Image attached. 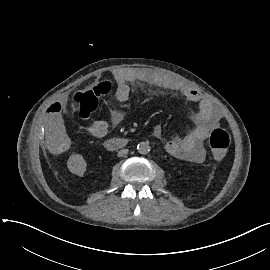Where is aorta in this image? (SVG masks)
<instances>
[{
	"label": "aorta",
	"instance_id": "aorta-1",
	"mask_svg": "<svg viewBox=\"0 0 270 270\" xmlns=\"http://www.w3.org/2000/svg\"><path fill=\"white\" fill-rule=\"evenodd\" d=\"M151 147L149 145V142H140L138 145H137V151L140 153V154H148L149 151H150Z\"/></svg>",
	"mask_w": 270,
	"mask_h": 270
}]
</instances>
